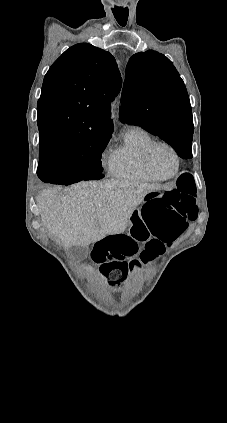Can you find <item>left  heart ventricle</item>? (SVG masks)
Listing matches in <instances>:
<instances>
[{
	"mask_svg": "<svg viewBox=\"0 0 227 423\" xmlns=\"http://www.w3.org/2000/svg\"><path fill=\"white\" fill-rule=\"evenodd\" d=\"M150 163L153 170L160 176H169L175 170V159L171 151L158 146L150 155Z\"/></svg>",
	"mask_w": 227,
	"mask_h": 423,
	"instance_id": "1",
	"label": "left heart ventricle"
}]
</instances>
